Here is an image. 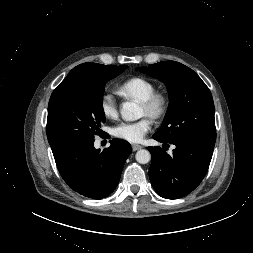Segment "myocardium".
I'll return each instance as SVG.
<instances>
[{"mask_svg": "<svg viewBox=\"0 0 253 253\" xmlns=\"http://www.w3.org/2000/svg\"><path fill=\"white\" fill-rule=\"evenodd\" d=\"M141 105L146 109L147 115L154 120L163 118L169 108V97L164 92L155 91L148 98L141 101Z\"/></svg>", "mask_w": 253, "mask_h": 253, "instance_id": "obj_1", "label": "myocardium"}]
</instances>
